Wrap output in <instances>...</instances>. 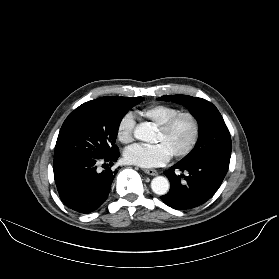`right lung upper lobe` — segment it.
<instances>
[{
	"label": "right lung upper lobe",
	"mask_w": 279,
	"mask_h": 279,
	"mask_svg": "<svg viewBox=\"0 0 279 279\" xmlns=\"http://www.w3.org/2000/svg\"><path fill=\"white\" fill-rule=\"evenodd\" d=\"M108 97H110V96H105V97H101V98H98V99H104V98H108ZM98 99H96V100H98Z\"/></svg>",
	"instance_id": "right-lung-upper-lobe-1"
}]
</instances>
